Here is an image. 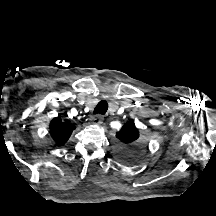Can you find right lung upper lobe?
Segmentation results:
<instances>
[{
	"mask_svg": "<svg viewBox=\"0 0 216 216\" xmlns=\"http://www.w3.org/2000/svg\"><path fill=\"white\" fill-rule=\"evenodd\" d=\"M50 134L57 146L64 145L71 136L75 126L63 122L60 117L53 118L50 123Z\"/></svg>",
	"mask_w": 216,
	"mask_h": 216,
	"instance_id": "right-lung-upper-lobe-1",
	"label": "right lung upper lobe"
}]
</instances>
